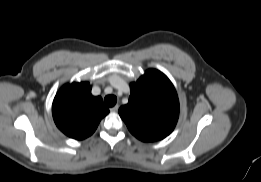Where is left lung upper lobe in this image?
<instances>
[{"label": "left lung upper lobe", "instance_id": "left-lung-upper-lobe-1", "mask_svg": "<svg viewBox=\"0 0 261 182\" xmlns=\"http://www.w3.org/2000/svg\"><path fill=\"white\" fill-rule=\"evenodd\" d=\"M130 87L129 102L119 109L129 131L144 142L164 139L179 117V100L173 84L162 72L149 69Z\"/></svg>", "mask_w": 261, "mask_h": 182}]
</instances>
